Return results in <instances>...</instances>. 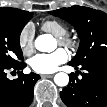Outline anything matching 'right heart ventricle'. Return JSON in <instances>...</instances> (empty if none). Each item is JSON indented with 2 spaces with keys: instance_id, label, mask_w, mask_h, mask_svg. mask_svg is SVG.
Instances as JSON below:
<instances>
[{
  "instance_id": "1",
  "label": "right heart ventricle",
  "mask_w": 107,
  "mask_h": 107,
  "mask_svg": "<svg viewBox=\"0 0 107 107\" xmlns=\"http://www.w3.org/2000/svg\"><path fill=\"white\" fill-rule=\"evenodd\" d=\"M42 29L55 37H60L68 32V28L63 22L54 19L44 21Z\"/></svg>"
}]
</instances>
